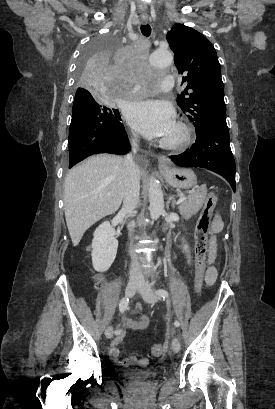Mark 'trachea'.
Returning <instances> with one entry per match:
<instances>
[{
	"mask_svg": "<svg viewBox=\"0 0 275 409\" xmlns=\"http://www.w3.org/2000/svg\"><path fill=\"white\" fill-rule=\"evenodd\" d=\"M141 33L145 35V37H149L151 34V27L150 25H141Z\"/></svg>",
	"mask_w": 275,
	"mask_h": 409,
	"instance_id": "3493384b",
	"label": "trachea"
}]
</instances>
